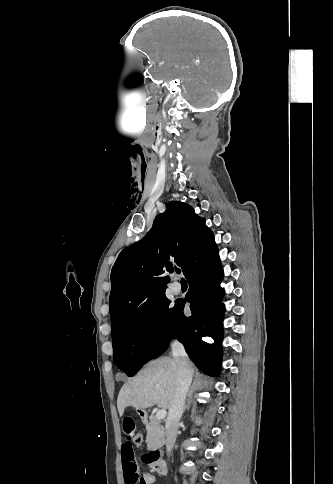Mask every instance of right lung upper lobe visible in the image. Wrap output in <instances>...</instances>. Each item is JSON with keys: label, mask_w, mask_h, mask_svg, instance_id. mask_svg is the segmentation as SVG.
Returning a JSON list of instances; mask_svg holds the SVG:
<instances>
[{"label": "right lung upper lobe", "mask_w": 333, "mask_h": 484, "mask_svg": "<svg viewBox=\"0 0 333 484\" xmlns=\"http://www.w3.org/2000/svg\"><path fill=\"white\" fill-rule=\"evenodd\" d=\"M216 248L212 231L190 205L168 203L146 236L124 249L112 268V333L135 310L165 295L164 273L173 272L174 263L188 278Z\"/></svg>", "instance_id": "obj_1"}]
</instances>
